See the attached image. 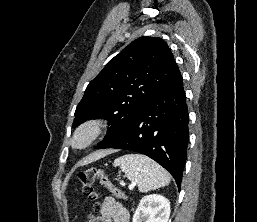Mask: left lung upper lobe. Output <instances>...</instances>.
<instances>
[{"instance_id": "1", "label": "left lung upper lobe", "mask_w": 257, "mask_h": 222, "mask_svg": "<svg viewBox=\"0 0 257 222\" xmlns=\"http://www.w3.org/2000/svg\"><path fill=\"white\" fill-rule=\"evenodd\" d=\"M179 68L167 43L140 37L112 58L88 84L77 105L73 126L105 118L111 125L98 148L113 140Z\"/></svg>"}]
</instances>
